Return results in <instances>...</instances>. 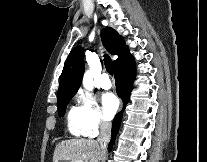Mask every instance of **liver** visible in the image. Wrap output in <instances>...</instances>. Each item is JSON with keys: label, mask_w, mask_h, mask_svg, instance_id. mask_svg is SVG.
I'll return each mask as SVG.
<instances>
[{"label": "liver", "mask_w": 207, "mask_h": 162, "mask_svg": "<svg viewBox=\"0 0 207 162\" xmlns=\"http://www.w3.org/2000/svg\"><path fill=\"white\" fill-rule=\"evenodd\" d=\"M100 150L93 139H69L57 144L53 154V162L78 160L84 162H99Z\"/></svg>", "instance_id": "liver-1"}]
</instances>
